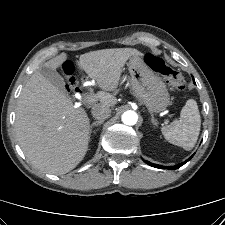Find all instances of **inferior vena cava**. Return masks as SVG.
<instances>
[{
    "label": "inferior vena cava",
    "instance_id": "1",
    "mask_svg": "<svg viewBox=\"0 0 225 225\" xmlns=\"http://www.w3.org/2000/svg\"><path fill=\"white\" fill-rule=\"evenodd\" d=\"M92 116L98 120H105L111 114V109L106 105H94L91 110Z\"/></svg>",
    "mask_w": 225,
    "mask_h": 225
}]
</instances>
